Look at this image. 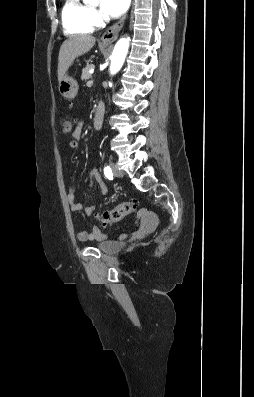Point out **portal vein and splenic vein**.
<instances>
[{
	"label": "portal vein and splenic vein",
	"mask_w": 254,
	"mask_h": 397,
	"mask_svg": "<svg viewBox=\"0 0 254 397\" xmlns=\"http://www.w3.org/2000/svg\"><path fill=\"white\" fill-rule=\"evenodd\" d=\"M93 84V81L92 80H89L88 82H87V86H91Z\"/></svg>",
	"instance_id": "obj_1"
}]
</instances>
